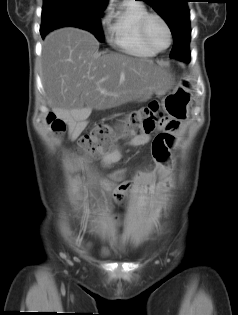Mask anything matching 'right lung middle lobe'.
<instances>
[{"label":"right lung middle lobe","mask_w":238,"mask_h":315,"mask_svg":"<svg viewBox=\"0 0 238 315\" xmlns=\"http://www.w3.org/2000/svg\"><path fill=\"white\" fill-rule=\"evenodd\" d=\"M107 4L95 0H43L42 38L57 28L78 27L91 32L99 41L104 35L101 29V14Z\"/></svg>","instance_id":"dd1d6c3e"}]
</instances>
